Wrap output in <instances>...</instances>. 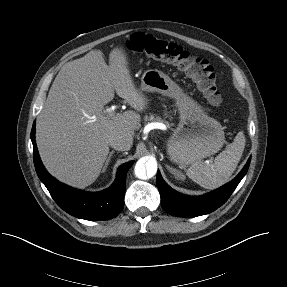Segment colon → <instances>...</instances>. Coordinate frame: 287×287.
Returning a JSON list of instances; mask_svg holds the SVG:
<instances>
[{"mask_svg": "<svg viewBox=\"0 0 287 287\" xmlns=\"http://www.w3.org/2000/svg\"><path fill=\"white\" fill-rule=\"evenodd\" d=\"M126 45L133 52L175 64L193 80L209 104L221 103L215 71L208 60L192 55L176 43L143 32L132 34Z\"/></svg>", "mask_w": 287, "mask_h": 287, "instance_id": "1", "label": "colon"}]
</instances>
